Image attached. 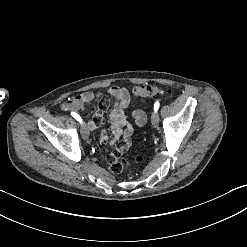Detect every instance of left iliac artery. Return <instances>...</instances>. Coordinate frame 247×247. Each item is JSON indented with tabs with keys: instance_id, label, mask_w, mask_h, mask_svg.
I'll return each instance as SVG.
<instances>
[{
	"instance_id": "obj_1",
	"label": "left iliac artery",
	"mask_w": 247,
	"mask_h": 247,
	"mask_svg": "<svg viewBox=\"0 0 247 247\" xmlns=\"http://www.w3.org/2000/svg\"><path fill=\"white\" fill-rule=\"evenodd\" d=\"M159 102L158 101H156V103L154 104V111L155 112H157L158 111V109H159Z\"/></svg>"
}]
</instances>
